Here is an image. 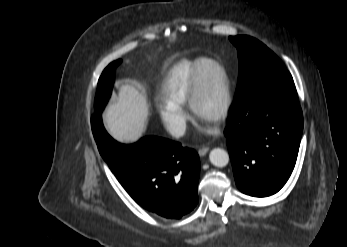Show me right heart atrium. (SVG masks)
<instances>
[{
  "label": "right heart atrium",
  "mask_w": 347,
  "mask_h": 247,
  "mask_svg": "<svg viewBox=\"0 0 347 247\" xmlns=\"http://www.w3.org/2000/svg\"><path fill=\"white\" fill-rule=\"evenodd\" d=\"M157 111L162 123L173 136L184 135L189 116L183 106L163 100L157 105Z\"/></svg>",
  "instance_id": "d8ad5b80"
}]
</instances>
